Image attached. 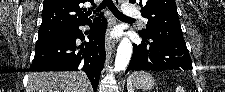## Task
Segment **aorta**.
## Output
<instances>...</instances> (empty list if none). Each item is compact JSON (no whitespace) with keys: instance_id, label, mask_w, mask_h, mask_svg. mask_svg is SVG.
<instances>
[{"instance_id":"1","label":"aorta","mask_w":225,"mask_h":92,"mask_svg":"<svg viewBox=\"0 0 225 92\" xmlns=\"http://www.w3.org/2000/svg\"><path fill=\"white\" fill-rule=\"evenodd\" d=\"M132 55V44L128 38H123L118 46L115 58L114 71L119 72L124 70Z\"/></svg>"}]
</instances>
